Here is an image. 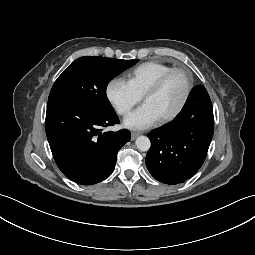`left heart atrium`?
<instances>
[{
	"mask_svg": "<svg viewBox=\"0 0 255 255\" xmlns=\"http://www.w3.org/2000/svg\"><path fill=\"white\" fill-rule=\"evenodd\" d=\"M161 119L155 108L148 102L130 113L124 120V125L131 129H145Z\"/></svg>",
	"mask_w": 255,
	"mask_h": 255,
	"instance_id": "obj_1",
	"label": "left heart atrium"
}]
</instances>
